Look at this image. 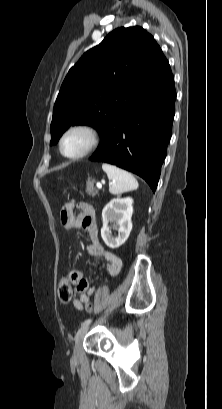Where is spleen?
Segmentation results:
<instances>
[{"instance_id": "spleen-1", "label": "spleen", "mask_w": 222, "mask_h": 409, "mask_svg": "<svg viewBox=\"0 0 222 409\" xmlns=\"http://www.w3.org/2000/svg\"><path fill=\"white\" fill-rule=\"evenodd\" d=\"M102 169L108 176L111 194H121L138 188V182L131 173L107 163L102 165Z\"/></svg>"}]
</instances>
